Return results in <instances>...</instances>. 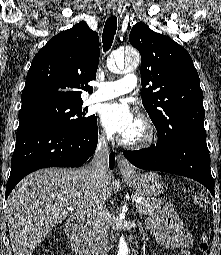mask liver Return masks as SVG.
I'll return each instance as SVG.
<instances>
[{
  "instance_id": "obj_1",
  "label": "liver",
  "mask_w": 221,
  "mask_h": 255,
  "mask_svg": "<svg viewBox=\"0 0 221 255\" xmlns=\"http://www.w3.org/2000/svg\"><path fill=\"white\" fill-rule=\"evenodd\" d=\"M113 190L106 173L92 180L88 166L47 168L26 176L7 199V218L14 255H32L49 232L68 215L86 214L92 204H105Z\"/></svg>"
}]
</instances>
